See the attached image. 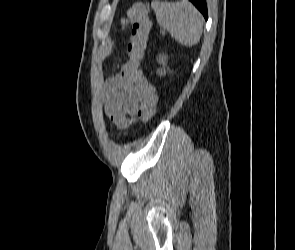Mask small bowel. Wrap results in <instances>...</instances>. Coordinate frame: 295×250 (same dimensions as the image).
Returning <instances> with one entry per match:
<instances>
[{
  "label": "small bowel",
  "mask_w": 295,
  "mask_h": 250,
  "mask_svg": "<svg viewBox=\"0 0 295 250\" xmlns=\"http://www.w3.org/2000/svg\"><path fill=\"white\" fill-rule=\"evenodd\" d=\"M141 97L135 86L115 74L108 78L103 96L104 111L117 131L129 128L137 118L142 119Z\"/></svg>",
  "instance_id": "c3829d8e"
}]
</instances>
